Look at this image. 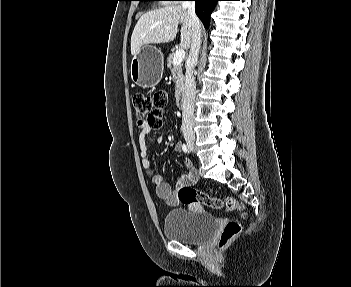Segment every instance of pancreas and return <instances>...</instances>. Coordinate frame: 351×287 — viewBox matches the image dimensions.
I'll use <instances>...</instances> for the list:
<instances>
[{"instance_id":"cf45deb5","label":"pancreas","mask_w":351,"mask_h":287,"mask_svg":"<svg viewBox=\"0 0 351 287\" xmlns=\"http://www.w3.org/2000/svg\"><path fill=\"white\" fill-rule=\"evenodd\" d=\"M174 54H170L167 57V67L171 70L174 75L175 83H176V91L175 94L178 96L183 89L184 76L182 73V64L175 65L173 63Z\"/></svg>"}]
</instances>
